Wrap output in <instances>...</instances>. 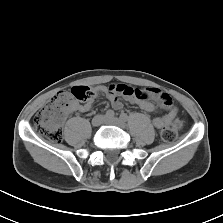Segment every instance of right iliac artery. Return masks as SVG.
I'll use <instances>...</instances> for the list:
<instances>
[{
	"instance_id": "right-iliac-artery-1",
	"label": "right iliac artery",
	"mask_w": 223,
	"mask_h": 223,
	"mask_svg": "<svg viewBox=\"0 0 223 223\" xmlns=\"http://www.w3.org/2000/svg\"><path fill=\"white\" fill-rule=\"evenodd\" d=\"M107 118H113L114 117V111L113 110H108L105 114Z\"/></svg>"
}]
</instances>
